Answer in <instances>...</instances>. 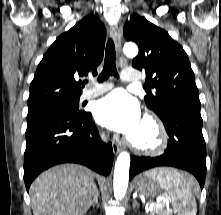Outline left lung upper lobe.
<instances>
[{"instance_id":"obj_1","label":"left lung upper lobe","mask_w":221,"mask_h":215,"mask_svg":"<svg viewBox=\"0 0 221 215\" xmlns=\"http://www.w3.org/2000/svg\"><path fill=\"white\" fill-rule=\"evenodd\" d=\"M124 37L139 46L132 66L146 70V81L156 88L154 95L145 96L151 110L160 115L166 104L179 103L200 109L199 93L186 52L169 34L134 16L124 26Z\"/></svg>"}]
</instances>
